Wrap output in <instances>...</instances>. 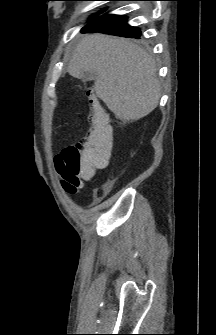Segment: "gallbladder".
Masks as SVG:
<instances>
[{"label":"gallbladder","instance_id":"bac80fb5","mask_svg":"<svg viewBox=\"0 0 216 335\" xmlns=\"http://www.w3.org/2000/svg\"><path fill=\"white\" fill-rule=\"evenodd\" d=\"M84 76H85V80H86V81H88V80H92V79L95 78V74H92V73H89V72H86V73L84 74Z\"/></svg>","mask_w":216,"mask_h":335}]
</instances>
